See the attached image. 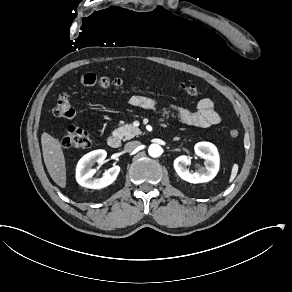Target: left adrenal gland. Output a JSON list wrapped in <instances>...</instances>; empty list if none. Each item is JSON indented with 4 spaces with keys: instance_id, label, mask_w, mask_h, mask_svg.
Segmentation results:
<instances>
[{
    "instance_id": "obj_1",
    "label": "left adrenal gland",
    "mask_w": 292,
    "mask_h": 292,
    "mask_svg": "<svg viewBox=\"0 0 292 292\" xmlns=\"http://www.w3.org/2000/svg\"><path fill=\"white\" fill-rule=\"evenodd\" d=\"M174 141H180V138H174Z\"/></svg>"
}]
</instances>
